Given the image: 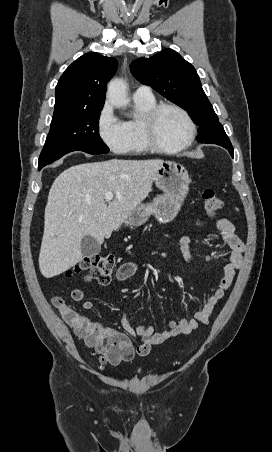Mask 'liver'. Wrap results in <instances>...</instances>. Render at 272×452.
Returning a JSON list of instances; mask_svg holds the SVG:
<instances>
[{
    "label": "liver",
    "mask_w": 272,
    "mask_h": 452,
    "mask_svg": "<svg viewBox=\"0 0 272 452\" xmlns=\"http://www.w3.org/2000/svg\"><path fill=\"white\" fill-rule=\"evenodd\" d=\"M163 160L84 163L64 170L53 182L44 215L40 272L57 276L82 260L81 241L89 235L102 244L148 196ZM115 197L105 202L104 194Z\"/></svg>",
    "instance_id": "liver-1"
}]
</instances>
